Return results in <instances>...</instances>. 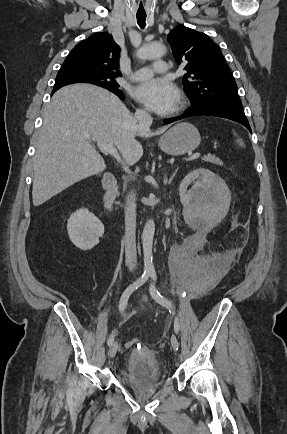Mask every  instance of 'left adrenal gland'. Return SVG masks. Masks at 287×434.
Returning a JSON list of instances; mask_svg holds the SVG:
<instances>
[{"label":"left adrenal gland","mask_w":287,"mask_h":434,"mask_svg":"<svg viewBox=\"0 0 287 434\" xmlns=\"http://www.w3.org/2000/svg\"><path fill=\"white\" fill-rule=\"evenodd\" d=\"M178 169L175 170V172L172 174V176L170 177L168 184H170L173 180V178L175 177L176 173H177Z\"/></svg>","instance_id":"a2214340"}]
</instances>
